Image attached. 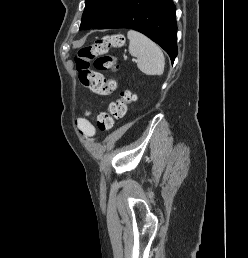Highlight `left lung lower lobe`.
Listing matches in <instances>:
<instances>
[{"mask_svg": "<svg viewBox=\"0 0 248 258\" xmlns=\"http://www.w3.org/2000/svg\"><path fill=\"white\" fill-rule=\"evenodd\" d=\"M172 0H128L109 21L96 29L137 30L160 45L172 63L177 56V24Z\"/></svg>", "mask_w": 248, "mask_h": 258, "instance_id": "1", "label": "left lung lower lobe"}]
</instances>
